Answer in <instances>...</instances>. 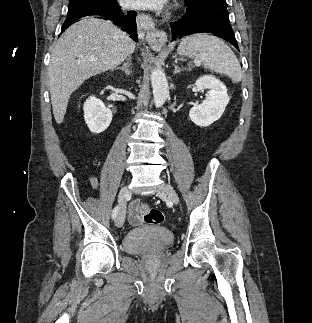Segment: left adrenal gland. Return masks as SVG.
I'll use <instances>...</instances> for the list:
<instances>
[{
  "mask_svg": "<svg viewBox=\"0 0 312 323\" xmlns=\"http://www.w3.org/2000/svg\"><path fill=\"white\" fill-rule=\"evenodd\" d=\"M175 70H174V74H178V72H181L179 66H176V64H173Z\"/></svg>",
  "mask_w": 312,
  "mask_h": 323,
  "instance_id": "obj_1",
  "label": "left adrenal gland"
}]
</instances>
